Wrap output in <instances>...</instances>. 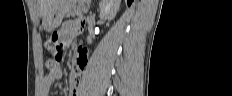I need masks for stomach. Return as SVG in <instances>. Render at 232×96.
<instances>
[{"label": "stomach", "mask_w": 232, "mask_h": 96, "mask_svg": "<svg viewBox=\"0 0 232 96\" xmlns=\"http://www.w3.org/2000/svg\"><path fill=\"white\" fill-rule=\"evenodd\" d=\"M75 4L74 0H54L43 17V28L47 32L56 29L62 22L65 14Z\"/></svg>", "instance_id": "stomach-1"}]
</instances>
